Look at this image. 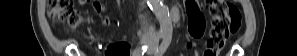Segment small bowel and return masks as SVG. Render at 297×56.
<instances>
[{
  "instance_id": "1",
  "label": "small bowel",
  "mask_w": 297,
  "mask_h": 56,
  "mask_svg": "<svg viewBox=\"0 0 297 56\" xmlns=\"http://www.w3.org/2000/svg\"><path fill=\"white\" fill-rule=\"evenodd\" d=\"M186 11L190 17L188 26L189 34L192 38H200L204 33V19L200 13L199 6L196 1H187ZM90 38H101V33H90ZM117 53L127 55L128 47L125 44H112L108 46L105 55L115 56Z\"/></svg>"
}]
</instances>
